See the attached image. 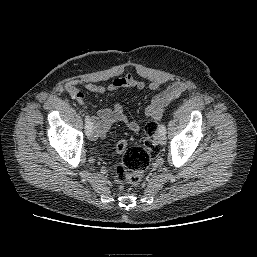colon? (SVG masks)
Returning a JSON list of instances; mask_svg holds the SVG:
<instances>
[{"mask_svg":"<svg viewBox=\"0 0 257 257\" xmlns=\"http://www.w3.org/2000/svg\"><path fill=\"white\" fill-rule=\"evenodd\" d=\"M157 126L156 120H151L146 124V138L141 147L129 146L125 139L118 141L116 150L122 158L115 167V177L119 183L135 185L142 180L151 159L159 153V147L154 140Z\"/></svg>","mask_w":257,"mask_h":257,"instance_id":"5ec220e1","label":"colon"}]
</instances>
